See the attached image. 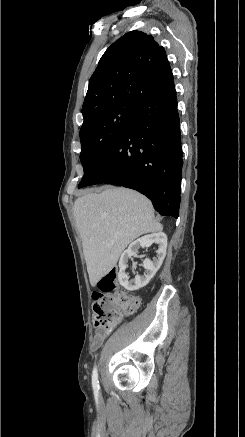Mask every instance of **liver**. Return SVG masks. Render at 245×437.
<instances>
[{
	"label": "liver",
	"instance_id": "1",
	"mask_svg": "<svg viewBox=\"0 0 245 437\" xmlns=\"http://www.w3.org/2000/svg\"><path fill=\"white\" fill-rule=\"evenodd\" d=\"M73 214L93 287L116 265L129 243L163 229L155 220L152 203L126 188L110 187L79 197Z\"/></svg>",
	"mask_w": 245,
	"mask_h": 437
}]
</instances>
